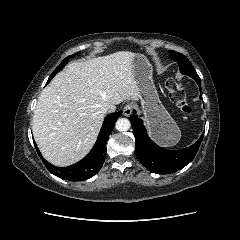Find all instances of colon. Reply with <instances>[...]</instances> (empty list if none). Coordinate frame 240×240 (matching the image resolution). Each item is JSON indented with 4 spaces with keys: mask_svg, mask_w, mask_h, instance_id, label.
Here are the masks:
<instances>
[{
    "mask_svg": "<svg viewBox=\"0 0 240 240\" xmlns=\"http://www.w3.org/2000/svg\"><path fill=\"white\" fill-rule=\"evenodd\" d=\"M166 88L169 92L170 100L186 114L193 113V107L187 102L186 94L180 84L173 78H168Z\"/></svg>",
    "mask_w": 240,
    "mask_h": 240,
    "instance_id": "1",
    "label": "colon"
}]
</instances>
